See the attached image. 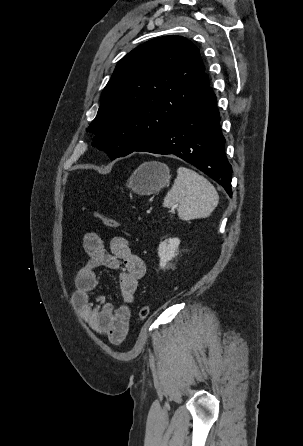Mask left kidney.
Wrapping results in <instances>:
<instances>
[{
	"label": "left kidney",
	"instance_id": "obj_1",
	"mask_svg": "<svg viewBox=\"0 0 303 446\" xmlns=\"http://www.w3.org/2000/svg\"><path fill=\"white\" fill-rule=\"evenodd\" d=\"M180 240L178 238H170L159 244L158 255L160 257V267L165 268L167 263L177 256Z\"/></svg>",
	"mask_w": 303,
	"mask_h": 446
}]
</instances>
